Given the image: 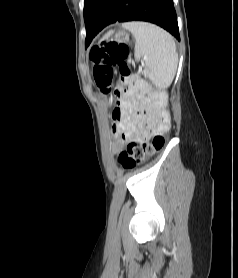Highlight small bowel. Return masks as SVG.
Segmentation results:
<instances>
[{
	"label": "small bowel",
	"mask_w": 238,
	"mask_h": 278,
	"mask_svg": "<svg viewBox=\"0 0 238 278\" xmlns=\"http://www.w3.org/2000/svg\"><path fill=\"white\" fill-rule=\"evenodd\" d=\"M113 118L117 122V130L112 148L118 149L125 142H142L154 134L161 113L143 84L134 83L121 93Z\"/></svg>",
	"instance_id": "small-bowel-1"
}]
</instances>
